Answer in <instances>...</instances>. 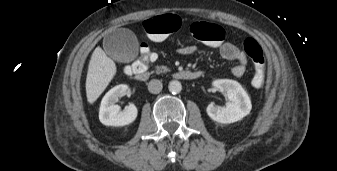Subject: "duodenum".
I'll list each match as a JSON object with an SVG mask.
<instances>
[{"label": "duodenum", "instance_id": "410a0bca", "mask_svg": "<svg viewBox=\"0 0 337 171\" xmlns=\"http://www.w3.org/2000/svg\"><path fill=\"white\" fill-rule=\"evenodd\" d=\"M133 74L138 80H146L148 79V72L146 68H133ZM203 75L201 71H190V70H183L179 71L174 74V77L181 80H195L200 78Z\"/></svg>", "mask_w": 337, "mask_h": 171}]
</instances>
